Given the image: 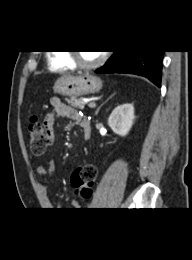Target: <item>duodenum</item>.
<instances>
[{
  "mask_svg": "<svg viewBox=\"0 0 192 260\" xmlns=\"http://www.w3.org/2000/svg\"><path fill=\"white\" fill-rule=\"evenodd\" d=\"M80 127L83 129L84 134H85V138L88 139L89 135H90V130H91V126H90V122L87 120H83L80 123Z\"/></svg>",
  "mask_w": 192,
  "mask_h": 260,
  "instance_id": "obj_1",
  "label": "duodenum"
}]
</instances>
